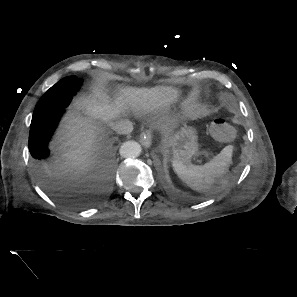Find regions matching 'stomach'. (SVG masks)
I'll return each mask as SVG.
<instances>
[{
	"mask_svg": "<svg viewBox=\"0 0 297 297\" xmlns=\"http://www.w3.org/2000/svg\"><path fill=\"white\" fill-rule=\"evenodd\" d=\"M166 145L172 149L173 161L188 164L199 152L197 131L193 127L184 126L166 140Z\"/></svg>",
	"mask_w": 297,
	"mask_h": 297,
	"instance_id": "stomach-1",
	"label": "stomach"
}]
</instances>
